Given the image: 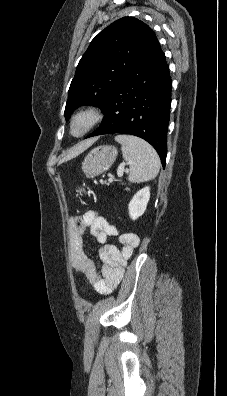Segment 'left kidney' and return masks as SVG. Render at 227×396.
Listing matches in <instances>:
<instances>
[{
    "instance_id": "left-kidney-1",
    "label": "left kidney",
    "mask_w": 227,
    "mask_h": 396,
    "mask_svg": "<svg viewBox=\"0 0 227 396\" xmlns=\"http://www.w3.org/2000/svg\"><path fill=\"white\" fill-rule=\"evenodd\" d=\"M150 199V188L145 187L139 190L129 203L128 210L131 219L136 220L142 216L146 210Z\"/></svg>"
}]
</instances>
